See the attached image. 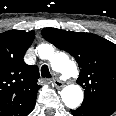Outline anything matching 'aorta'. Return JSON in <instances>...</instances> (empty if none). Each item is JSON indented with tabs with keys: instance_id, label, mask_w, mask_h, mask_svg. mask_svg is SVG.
<instances>
[{
	"instance_id": "762f6f07",
	"label": "aorta",
	"mask_w": 116,
	"mask_h": 116,
	"mask_svg": "<svg viewBox=\"0 0 116 116\" xmlns=\"http://www.w3.org/2000/svg\"><path fill=\"white\" fill-rule=\"evenodd\" d=\"M37 53L41 58L48 59L53 69L64 78L75 77L77 67L66 54H52L48 44H42L37 48ZM63 103L71 109L77 108L83 101V91L79 85L71 84L64 87L60 93Z\"/></svg>"
}]
</instances>
